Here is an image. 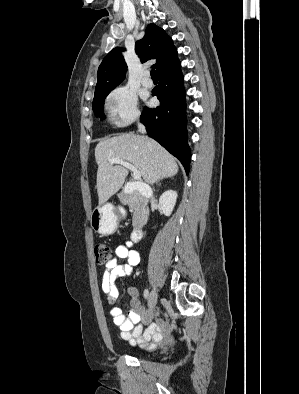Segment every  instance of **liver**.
Here are the masks:
<instances>
[{
    "mask_svg": "<svg viewBox=\"0 0 299 394\" xmlns=\"http://www.w3.org/2000/svg\"><path fill=\"white\" fill-rule=\"evenodd\" d=\"M111 158H119L134 165L148 184L178 172L176 159L149 137L123 134L102 140L95 148L99 205L122 187L128 175L126 167L109 163Z\"/></svg>",
    "mask_w": 299,
    "mask_h": 394,
    "instance_id": "obj_1",
    "label": "liver"
}]
</instances>
